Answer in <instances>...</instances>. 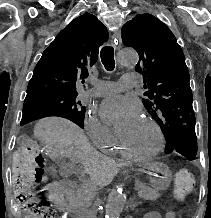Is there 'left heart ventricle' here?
Returning a JSON list of instances; mask_svg holds the SVG:
<instances>
[{
    "label": "left heart ventricle",
    "mask_w": 211,
    "mask_h": 218,
    "mask_svg": "<svg viewBox=\"0 0 211 218\" xmlns=\"http://www.w3.org/2000/svg\"><path fill=\"white\" fill-rule=\"evenodd\" d=\"M122 140L128 149L139 154L150 153L158 146V137L154 128L144 119Z\"/></svg>",
    "instance_id": "1"
}]
</instances>
